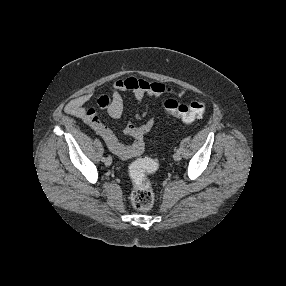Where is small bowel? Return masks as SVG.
Instances as JSON below:
<instances>
[{
  "mask_svg": "<svg viewBox=\"0 0 286 286\" xmlns=\"http://www.w3.org/2000/svg\"><path fill=\"white\" fill-rule=\"evenodd\" d=\"M110 87V95H101L97 103L99 108L106 110L108 115L113 119H118L122 116L124 109L123 93H132L139 103H141L145 97H160L164 94H172L178 98H182L185 94L183 89L175 88L170 84L148 81L135 76L115 79ZM91 98L92 94L87 93L72 99L66 106V112L87 123L103 138L108 149L121 160H129L139 156L144 151L145 135L154 126V118H149L141 125L129 123L124 129V134L128 136L132 142L126 145L121 143L112 130L100 120L93 108L86 107V104ZM146 115V108L138 109L136 112V118L139 120L144 119Z\"/></svg>",
  "mask_w": 286,
  "mask_h": 286,
  "instance_id": "small-bowel-1",
  "label": "small bowel"
}]
</instances>
